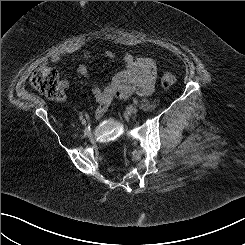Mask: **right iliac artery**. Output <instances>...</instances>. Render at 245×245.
Instances as JSON below:
<instances>
[{"label":"right iliac artery","mask_w":245,"mask_h":245,"mask_svg":"<svg viewBox=\"0 0 245 245\" xmlns=\"http://www.w3.org/2000/svg\"><path fill=\"white\" fill-rule=\"evenodd\" d=\"M83 118H84V112H81V113L79 114V119H80V120H83Z\"/></svg>","instance_id":"82829eb1"}]
</instances>
